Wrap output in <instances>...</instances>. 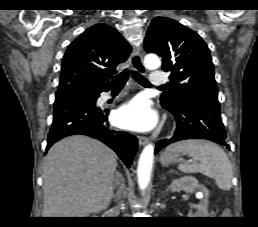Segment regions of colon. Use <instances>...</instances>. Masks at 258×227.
<instances>
[{"instance_id":"1","label":"colon","mask_w":258,"mask_h":227,"mask_svg":"<svg viewBox=\"0 0 258 227\" xmlns=\"http://www.w3.org/2000/svg\"><path fill=\"white\" fill-rule=\"evenodd\" d=\"M224 215H225V216H230V211H229L228 209L225 210Z\"/></svg>"}]
</instances>
